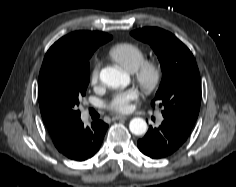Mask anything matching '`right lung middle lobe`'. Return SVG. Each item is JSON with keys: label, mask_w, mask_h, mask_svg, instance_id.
I'll return each instance as SVG.
<instances>
[{"label": "right lung middle lobe", "mask_w": 236, "mask_h": 187, "mask_svg": "<svg viewBox=\"0 0 236 187\" xmlns=\"http://www.w3.org/2000/svg\"><path fill=\"white\" fill-rule=\"evenodd\" d=\"M99 46L74 53L61 50L46 53L38 79L42 115L80 121L77 107L89 84V59Z\"/></svg>", "instance_id": "right-lung-middle-lobe-1"}]
</instances>
